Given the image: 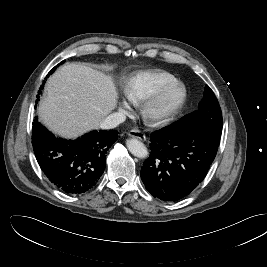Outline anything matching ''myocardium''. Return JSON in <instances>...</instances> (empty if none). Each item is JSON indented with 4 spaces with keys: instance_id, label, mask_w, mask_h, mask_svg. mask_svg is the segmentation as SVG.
<instances>
[{
    "instance_id": "f54148a6",
    "label": "myocardium",
    "mask_w": 267,
    "mask_h": 267,
    "mask_svg": "<svg viewBox=\"0 0 267 267\" xmlns=\"http://www.w3.org/2000/svg\"><path fill=\"white\" fill-rule=\"evenodd\" d=\"M187 98L184 84L176 82L146 100L141 114L150 125H163L172 121L183 108Z\"/></svg>"
}]
</instances>
